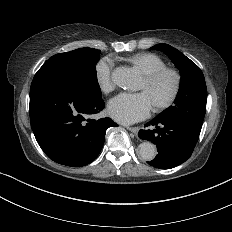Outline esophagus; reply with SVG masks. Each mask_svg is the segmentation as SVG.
I'll use <instances>...</instances> for the list:
<instances>
[{
	"label": "esophagus",
	"instance_id": "esophagus-1",
	"mask_svg": "<svg viewBox=\"0 0 232 232\" xmlns=\"http://www.w3.org/2000/svg\"><path fill=\"white\" fill-rule=\"evenodd\" d=\"M126 128H127V130L131 131L134 134H137L138 131H139V127H130V126H128Z\"/></svg>",
	"mask_w": 232,
	"mask_h": 232
}]
</instances>
